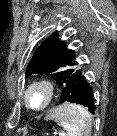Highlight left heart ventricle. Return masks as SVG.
<instances>
[{"instance_id":"obj_1","label":"left heart ventricle","mask_w":117,"mask_h":136,"mask_svg":"<svg viewBox=\"0 0 117 136\" xmlns=\"http://www.w3.org/2000/svg\"><path fill=\"white\" fill-rule=\"evenodd\" d=\"M28 100L33 107H39L44 102V93L40 89H35L30 92Z\"/></svg>"}]
</instances>
